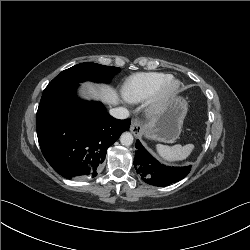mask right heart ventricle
<instances>
[{
  "mask_svg": "<svg viewBox=\"0 0 250 250\" xmlns=\"http://www.w3.org/2000/svg\"><path fill=\"white\" fill-rule=\"evenodd\" d=\"M172 78L170 74L163 72L137 73L128 77L123 86L122 93L128 102L138 103L148 99L157 88Z\"/></svg>",
  "mask_w": 250,
  "mask_h": 250,
  "instance_id": "e07e8e85",
  "label": "right heart ventricle"
}]
</instances>
